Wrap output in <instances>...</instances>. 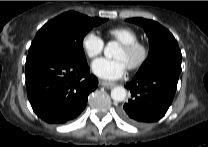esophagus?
<instances>
[{"mask_svg": "<svg viewBox=\"0 0 208 147\" xmlns=\"http://www.w3.org/2000/svg\"><path fill=\"white\" fill-rule=\"evenodd\" d=\"M100 84L105 88H113L116 84L108 81H100Z\"/></svg>", "mask_w": 208, "mask_h": 147, "instance_id": "esophagus-1", "label": "esophagus"}]
</instances>
